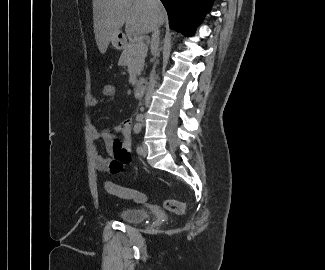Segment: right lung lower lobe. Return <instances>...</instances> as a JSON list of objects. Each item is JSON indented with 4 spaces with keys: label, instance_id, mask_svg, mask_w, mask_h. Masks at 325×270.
Returning a JSON list of instances; mask_svg holds the SVG:
<instances>
[{
    "label": "right lung lower lobe",
    "instance_id": "1",
    "mask_svg": "<svg viewBox=\"0 0 325 270\" xmlns=\"http://www.w3.org/2000/svg\"><path fill=\"white\" fill-rule=\"evenodd\" d=\"M214 0H161L171 28L191 35L204 19Z\"/></svg>",
    "mask_w": 325,
    "mask_h": 270
}]
</instances>
